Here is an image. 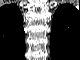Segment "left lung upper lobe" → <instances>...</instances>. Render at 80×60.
Here are the masks:
<instances>
[{"label": "left lung upper lobe", "instance_id": "1", "mask_svg": "<svg viewBox=\"0 0 80 60\" xmlns=\"http://www.w3.org/2000/svg\"><path fill=\"white\" fill-rule=\"evenodd\" d=\"M76 13V8L68 4L60 6L55 12L50 37L51 51H58L60 54L66 53L74 42L80 40L79 33L73 32V17ZM55 40L59 47H56Z\"/></svg>", "mask_w": 80, "mask_h": 60}]
</instances>
